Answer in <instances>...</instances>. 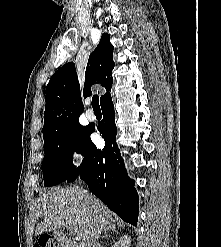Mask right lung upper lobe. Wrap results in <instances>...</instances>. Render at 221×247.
I'll return each mask as SVG.
<instances>
[{"label": "right lung upper lobe", "instance_id": "1", "mask_svg": "<svg viewBox=\"0 0 221 247\" xmlns=\"http://www.w3.org/2000/svg\"><path fill=\"white\" fill-rule=\"evenodd\" d=\"M113 45L110 36L102 34L96 49L90 54L84 84V97L89 96L91 86L99 83L107 92L101 96L100 104L111 98L113 78ZM46 107L44 112L43 138L61 131L63 128L79 122L83 112L80 86L76 74L75 64L69 62L57 70L51 77L45 95Z\"/></svg>", "mask_w": 221, "mask_h": 247}]
</instances>
